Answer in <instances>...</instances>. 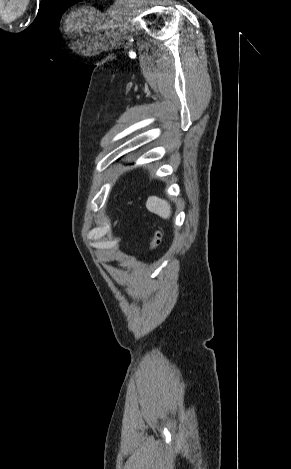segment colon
Here are the masks:
<instances>
[{"label": "colon", "instance_id": "colon-1", "mask_svg": "<svg viewBox=\"0 0 291 469\" xmlns=\"http://www.w3.org/2000/svg\"><path fill=\"white\" fill-rule=\"evenodd\" d=\"M160 241H161V232L157 230L155 231L153 239L151 241L150 249L151 250L156 249L158 245L160 244Z\"/></svg>", "mask_w": 291, "mask_h": 469}]
</instances>
